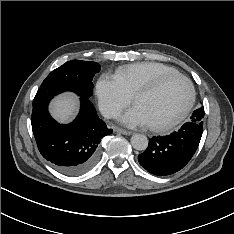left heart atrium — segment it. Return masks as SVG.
Masks as SVG:
<instances>
[{
  "instance_id": "39dd6f15",
  "label": "left heart atrium",
  "mask_w": 234,
  "mask_h": 234,
  "mask_svg": "<svg viewBox=\"0 0 234 234\" xmlns=\"http://www.w3.org/2000/svg\"><path fill=\"white\" fill-rule=\"evenodd\" d=\"M120 120L129 126H147L149 122L144 115L143 111L138 107L127 110L124 114L120 116Z\"/></svg>"
}]
</instances>
